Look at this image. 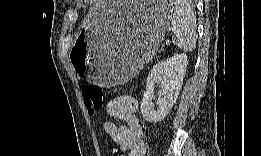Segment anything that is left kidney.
I'll list each match as a JSON object with an SVG mask.
<instances>
[{
	"label": "left kidney",
	"mask_w": 261,
	"mask_h": 156,
	"mask_svg": "<svg viewBox=\"0 0 261 156\" xmlns=\"http://www.w3.org/2000/svg\"><path fill=\"white\" fill-rule=\"evenodd\" d=\"M187 56L176 54L157 63L147 77L146 91L141 101V113L148 122L162 121L175 104L187 69ZM155 83L161 84L163 97L157 108L152 102Z\"/></svg>",
	"instance_id": "obj_1"
}]
</instances>
